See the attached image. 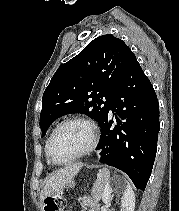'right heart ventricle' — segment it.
<instances>
[{
    "instance_id": "1",
    "label": "right heart ventricle",
    "mask_w": 179,
    "mask_h": 211,
    "mask_svg": "<svg viewBox=\"0 0 179 211\" xmlns=\"http://www.w3.org/2000/svg\"><path fill=\"white\" fill-rule=\"evenodd\" d=\"M47 140H48V139H47ZM46 144H47V141H46ZM46 144H45V153H46ZM46 161H47V164H48V165H51V163L49 162L47 156H46Z\"/></svg>"
}]
</instances>
